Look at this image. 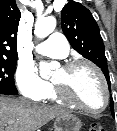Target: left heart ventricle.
<instances>
[{"label":"left heart ventricle","instance_id":"obj_1","mask_svg":"<svg viewBox=\"0 0 117 131\" xmlns=\"http://www.w3.org/2000/svg\"><path fill=\"white\" fill-rule=\"evenodd\" d=\"M52 80L63 84L74 99L90 109H99L103 104L100 80L87 66H79L71 71L59 68Z\"/></svg>","mask_w":117,"mask_h":131}]
</instances>
